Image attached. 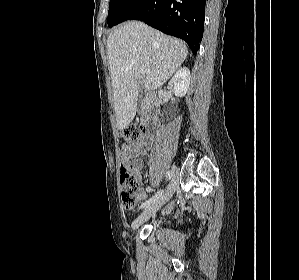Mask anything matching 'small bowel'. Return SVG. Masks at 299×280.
Here are the masks:
<instances>
[{"label": "small bowel", "instance_id": "small-bowel-1", "mask_svg": "<svg viewBox=\"0 0 299 280\" xmlns=\"http://www.w3.org/2000/svg\"><path fill=\"white\" fill-rule=\"evenodd\" d=\"M152 144L153 137L150 134L144 133L137 142L122 146V155L127 159L144 156L150 150ZM135 164L137 165L139 170L142 168L141 161L138 160L135 162ZM139 198L140 200L145 199L146 193L144 191H141L139 194ZM173 206V203L169 204L165 211H170Z\"/></svg>", "mask_w": 299, "mask_h": 280}]
</instances>
